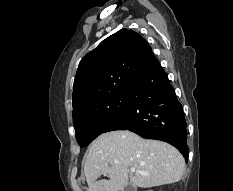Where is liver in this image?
Returning <instances> with one entry per match:
<instances>
[{"mask_svg":"<svg viewBox=\"0 0 233 191\" xmlns=\"http://www.w3.org/2000/svg\"><path fill=\"white\" fill-rule=\"evenodd\" d=\"M148 175L130 173L129 168ZM185 169L182 154L158 140L143 139L128 130L103 133L90 145L84 172L88 191H123L130 180L133 187L151 188L181 180ZM108 180H98L101 176Z\"/></svg>","mask_w":233,"mask_h":191,"instance_id":"1","label":"liver"}]
</instances>
